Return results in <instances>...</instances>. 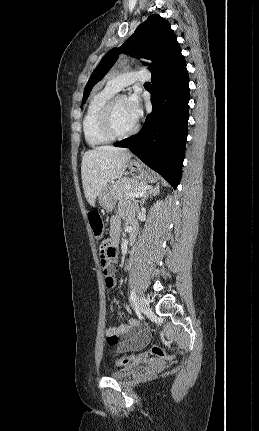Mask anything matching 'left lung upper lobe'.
I'll list each match as a JSON object with an SVG mask.
<instances>
[{
  "instance_id": "obj_1",
  "label": "left lung upper lobe",
  "mask_w": 259,
  "mask_h": 431,
  "mask_svg": "<svg viewBox=\"0 0 259 431\" xmlns=\"http://www.w3.org/2000/svg\"><path fill=\"white\" fill-rule=\"evenodd\" d=\"M175 41L176 35L167 20L157 14L150 15L121 47L110 50L102 58L85 86L82 103H85L93 86L102 80L121 53L151 60L149 69L153 71Z\"/></svg>"
}]
</instances>
